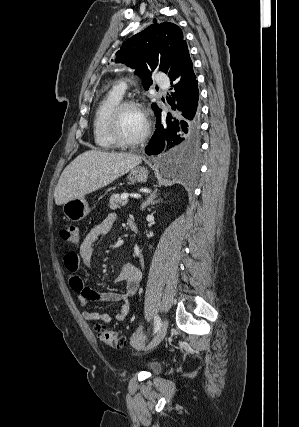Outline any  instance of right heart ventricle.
Returning <instances> with one entry per match:
<instances>
[{
  "label": "right heart ventricle",
  "mask_w": 299,
  "mask_h": 427,
  "mask_svg": "<svg viewBox=\"0 0 299 427\" xmlns=\"http://www.w3.org/2000/svg\"><path fill=\"white\" fill-rule=\"evenodd\" d=\"M122 100V95L110 90L97 104L92 123L95 145L101 150H112L116 145L110 140L106 131V120L112 108Z\"/></svg>",
  "instance_id": "1"
}]
</instances>
